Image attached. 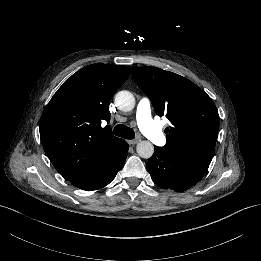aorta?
Instances as JSON below:
<instances>
[{
    "label": "aorta",
    "instance_id": "aorta-1",
    "mask_svg": "<svg viewBox=\"0 0 261 261\" xmlns=\"http://www.w3.org/2000/svg\"><path fill=\"white\" fill-rule=\"evenodd\" d=\"M114 103L121 111H130L134 108V95L128 90H121L116 93ZM154 153L153 145L148 141H142L137 145V154L144 159L150 158Z\"/></svg>",
    "mask_w": 261,
    "mask_h": 261
}]
</instances>
